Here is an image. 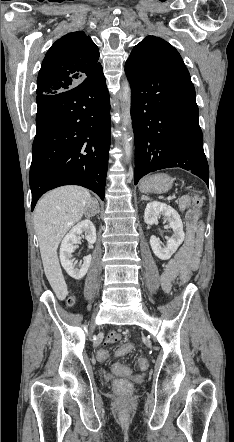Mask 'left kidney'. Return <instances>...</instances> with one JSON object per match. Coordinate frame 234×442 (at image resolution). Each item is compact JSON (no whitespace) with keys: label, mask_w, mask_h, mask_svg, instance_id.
Wrapping results in <instances>:
<instances>
[{"label":"left kidney","mask_w":234,"mask_h":442,"mask_svg":"<svg viewBox=\"0 0 234 442\" xmlns=\"http://www.w3.org/2000/svg\"><path fill=\"white\" fill-rule=\"evenodd\" d=\"M161 214L167 218L169 226L173 230V235L168 239L166 247H161L159 239L155 236H151L150 245L154 254L159 259L168 260L184 241L185 234L183 232V224L179 214L171 206L165 203L157 201L149 202L145 208L144 221L148 225H153L157 222Z\"/></svg>","instance_id":"obj_1"}]
</instances>
